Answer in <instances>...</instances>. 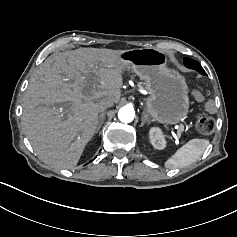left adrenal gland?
<instances>
[{
	"instance_id": "1",
	"label": "left adrenal gland",
	"mask_w": 237,
	"mask_h": 237,
	"mask_svg": "<svg viewBox=\"0 0 237 237\" xmlns=\"http://www.w3.org/2000/svg\"><path fill=\"white\" fill-rule=\"evenodd\" d=\"M141 120H142V122L140 124V127H142L145 124V122L149 121L147 115H143Z\"/></svg>"
}]
</instances>
